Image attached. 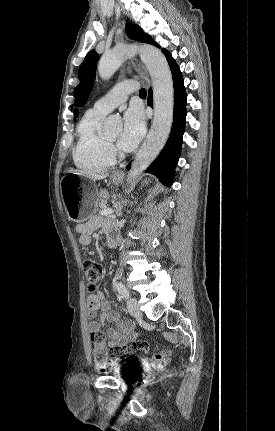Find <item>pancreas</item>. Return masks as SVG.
Instances as JSON below:
<instances>
[{
  "label": "pancreas",
  "instance_id": "1",
  "mask_svg": "<svg viewBox=\"0 0 275 431\" xmlns=\"http://www.w3.org/2000/svg\"><path fill=\"white\" fill-rule=\"evenodd\" d=\"M108 198H109L108 192L106 190H101L98 195L97 202L102 209L106 207Z\"/></svg>",
  "mask_w": 275,
  "mask_h": 431
}]
</instances>
